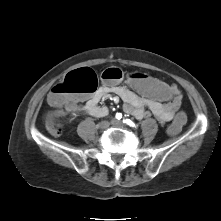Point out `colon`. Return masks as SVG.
<instances>
[{
    "label": "colon",
    "instance_id": "obj_1",
    "mask_svg": "<svg viewBox=\"0 0 221 221\" xmlns=\"http://www.w3.org/2000/svg\"><path fill=\"white\" fill-rule=\"evenodd\" d=\"M121 78L122 72L117 68H110L102 73V79L106 82H116ZM122 85L138 95H145L161 104H170L176 98V89L173 85L162 82L155 75L137 72L134 69L126 71ZM97 86L96 73L88 67L80 68L67 74L64 80L51 90L48 100L51 106L57 109L65 107L67 110L78 96L94 93ZM170 124L166 129V134L170 138H175L188 124L187 112L177 111L171 118Z\"/></svg>",
    "mask_w": 221,
    "mask_h": 221
}]
</instances>
